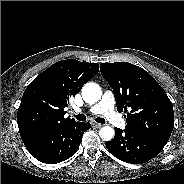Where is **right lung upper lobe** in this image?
<instances>
[{
    "instance_id": "obj_1",
    "label": "right lung upper lobe",
    "mask_w": 184,
    "mask_h": 184,
    "mask_svg": "<svg viewBox=\"0 0 184 184\" xmlns=\"http://www.w3.org/2000/svg\"><path fill=\"white\" fill-rule=\"evenodd\" d=\"M98 71L97 63L67 59L39 74L27 86L18 108L17 123L22 140L74 122L64 117V109L70 98Z\"/></svg>"
}]
</instances>
